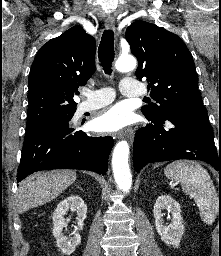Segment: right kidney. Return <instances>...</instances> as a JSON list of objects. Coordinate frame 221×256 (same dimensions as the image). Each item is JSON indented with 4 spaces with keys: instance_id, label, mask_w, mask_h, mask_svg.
Returning <instances> with one entry per match:
<instances>
[{
    "instance_id": "right-kidney-1",
    "label": "right kidney",
    "mask_w": 221,
    "mask_h": 256,
    "mask_svg": "<svg viewBox=\"0 0 221 256\" xmlns=\"http://www.w3.org/2000/svg\"><path fill=\"white\" fill-rule=\"evenodd\" d=\"M77 213V227H75L72 237L63 234V228L67 226L64 215L67 211ZM87 214V206L79 196L72 195L61 201L53 213V235L56 239L58 248L66 255L72 254L76 247L81 243V236L78 231L84 226V219Z\"/></svg>"
}]
</instances>
